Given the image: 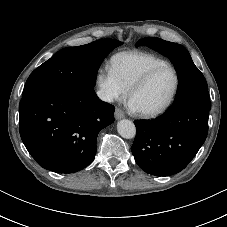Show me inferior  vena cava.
Returning a JSON list of instances; mask_svg holds the SVG:
<instances>
[{
    "label": "inferior vena cava",
    "mask_w": 227,
    "mask_h": 227,
    "mask_svg": "<svg viewBox=\"0 0 227 227\" xmlns=\"http://www.w3.org/2000/svg\"><path fill=\"white\" fill-rule=\"evenodd\" d=\"M97 96L102 101L113 102V96L104 90L97 91Z\"/></svg>",
    "instance_id": "inferior-vena-cava-1"
}]
</instances>
